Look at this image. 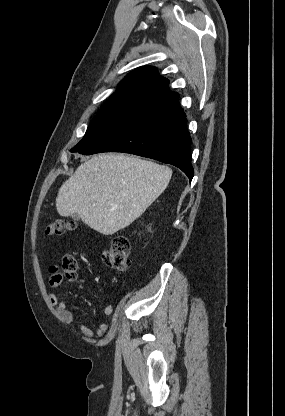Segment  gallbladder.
<instances>
[{"label":"gallbladder","instance_id":"gallbladder-1","mask_svg":"<svg viewBox=\"0 0 285 416\" xmlns=\"http://www.w3.org/2000/svg\"><path fill=\"white\" fill-rule=\"evenodd\" d=\"M72 218H73V220H77V222H78V220H80V218H79V216H77V214H72Z\"/></svg>","mask_w":285,"mask_h":416}]
</instances>
